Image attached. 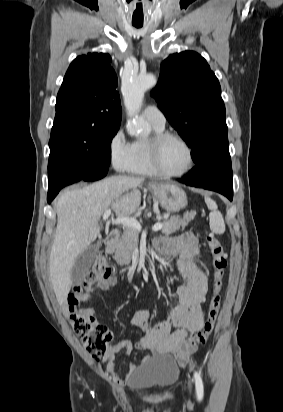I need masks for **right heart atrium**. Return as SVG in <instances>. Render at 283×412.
<instances>
[{
	"mask_svg": "<svg viewBox=\"0 0 283 412\" xmlns=\"http://www.w3.org/2000/svg\"><path fill=\"white\" fill-rule=\"evenodd\" d=\"M109 157L113 167L118 171L126 170L130 157V143L122 129H118L110 138Z\"/></svg>",
	"mask_w": 283,
	"mask_h": 412,
	"instance_id": "1",
	"label": "right heart atrium"
}]
</instances>
